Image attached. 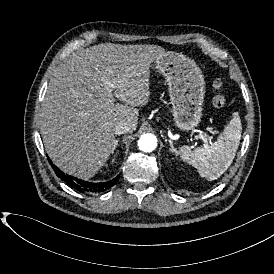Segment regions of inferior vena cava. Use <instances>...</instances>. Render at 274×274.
<instances>
[{"label": "inferior vena cava", "mask_w": 274, "mask_h": 274, "mask_svg": "<svg viewBox=\"0 0 274 274\" xmlns=\"http://www.w3.org/2000/svg\"><path fill=\"white\" fill-rule=\"evenodd\" d=\"M135 129V125H133L130 121H120L115 125V134L120 135L124 133L131 132Z\"/></svg>", "instance_id": "1"}]
</instances>
